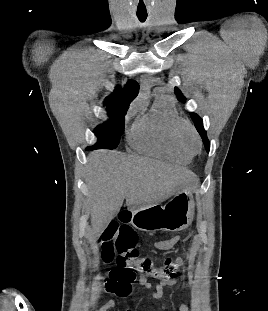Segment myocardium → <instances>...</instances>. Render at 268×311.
Segmentation results:
<instances>
[{"instance_id": "myocardium-1", "label": "myocardium", "mask_w": 268, "mask_h": 311, "mask_svg": "<svg viewBox=\"0 0 268 311\" xmlns=\"http://www.w3.org/2000/svg\"><path fill=\"white\" fill-rule=\"evenodd\" d=\"M173 137L180 149L184 152L188 153L189 155H194L201 150L202 141L201 138L195 129L194 125L191 123L190 120L178 117L173 122ZM190 134L196 142V148H191L186 142V134Z\"/></svg>"}]
</instances>
